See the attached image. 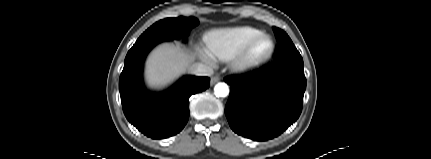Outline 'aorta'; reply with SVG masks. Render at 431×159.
Wrapping results in <instances>:
<instances>
[{"label": "aorta", "mask_w": 431, "mask_h": 159, "mask_svg": "<svg viewBox=\"0 0 431 159\" xmlns=\"http://www.w3.org/2000/svg\"><path fill=\"white\" fill-rule=\"evenodd\" d=\"M214 93L217 97H226L229 94V87L226 83L220 82L215 85Z\"/></svg>", "instance_id": "762f6f07"}]
</instances>
